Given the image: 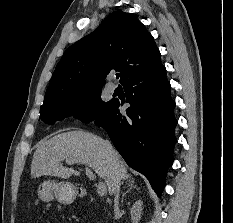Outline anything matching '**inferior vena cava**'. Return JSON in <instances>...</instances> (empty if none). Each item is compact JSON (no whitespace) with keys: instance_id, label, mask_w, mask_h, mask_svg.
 <instances>
[{"instance_id":"1","label":"inferior vena cava","mask_w":233,"mask_h":223,"mask_svg":"<svg viewBox=\"0 0 233 223\" xmlns=\"http://www.w3.org/2000/svg\"><path fill=\"white\" fill-rule=\"evenodd\" d=\"M106 141V147L108 149V151H110V153H113V147L110 143V141H108V139H105ZM113 191H114V213H117L118 209H119V191H120V175H119V171H115V177L113 179Z\"/></svg>"}]
</instances>
